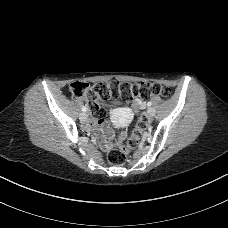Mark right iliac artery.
Returning <instances> with one entry per match:
<instances>
[{"label":"right iliac artery","mask_w":228,"mask_h":228,"mask_svg":"<svg viewBox=\"0 0 228 228\" xmlns=\"http://www.w3.org/2000/svg\"><path fill=\"white\" fill-rule=\"evenodd\" d=\"M86 109H87V108H86L85 106H82V111H83V112H86Z\"/></svg>","instance_id":"1"}]
</instances>
